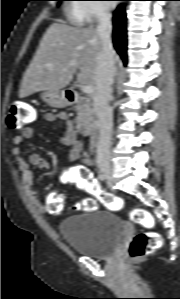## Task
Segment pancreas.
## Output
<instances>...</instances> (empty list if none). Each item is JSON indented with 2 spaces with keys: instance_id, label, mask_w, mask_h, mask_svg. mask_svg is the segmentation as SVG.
<instances>
[{
  "instance_id": "obj_1",
  "label": "pancreas",
  "mask_w": 180,
  "mask_h": 299,
  "mask_svg": "<svg viewBox=\"0 0 180 299\" xmlns=\"http://www.w3.org/2000/svg\"><path fill=\"white\" fill-rule=\"evenodd\" d=\"M77 117L76 123L78 126L88 127L94 120V111L89 98L83 97L76 106Z\"/></svg>"
}]
</instances>
